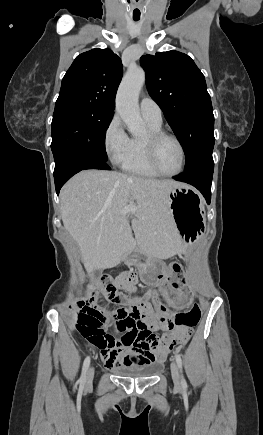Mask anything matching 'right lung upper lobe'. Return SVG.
Returning a JSON list of instances; mask_svg holds the SVG:
<instances>
[{"label": "right lung upper lobe", "mask_w": 263, "mask_h": 435, "mask_svg": "<svg viewBox=\"0 0 263 435\" xmlns=\"http://www.w3.org/2000/svg\"><path fill=\"white\" fill-rule=\"evenodd\" d=\"M122 73L120 58L108 48L78 55L63 77L55 107L88 104L114 112Z\"/></svg>", "instance_id": "obj_1"}]
</instances>
